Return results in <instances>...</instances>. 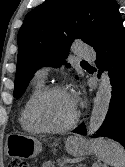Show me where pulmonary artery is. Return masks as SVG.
Instances as JSON below:
<instances>
[{
  "mask_svg": "<svg viewBox=\"0 0 125 167\" xmlns=\"http://www.w3.org/2000/svg\"><path fill=\"white\" fill-rule=\"evenodd\" d=\"M75 51L78 57L83 58V59H91L95 57L92 49L86 47L82 42H79L77 44V46L75 47ZM49 70L50 68L47 66L40 68L35 73V79L43 82L47 78Z\"/></svg>",
  "mask_w": 125,
  "mask_h": 167,
  "instance_id": "pulmonary-artery-1",
  "label": "pulmonary artery"
}]
</instances>
